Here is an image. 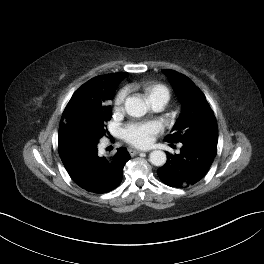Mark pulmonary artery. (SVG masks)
<instances>
[{
    "instance_id": "obj_1",
    "label": "pulmonary artery",
    "mask_w": 264,
    "mask_h": 264,
    "mask_svg": "<svg viewBox=\"0 0 264 264\" xmlns=\"http://www.w3.org/2000/svg\"><path fill=\"white\" fill-rule=\"evenodd\" d=\"M166 101L163 100V99H156V100H153L150 104L152 106V109L156 112H159L161 110H163V108L165 107L166 105Z\"/></svg>"
}]
</instances>
